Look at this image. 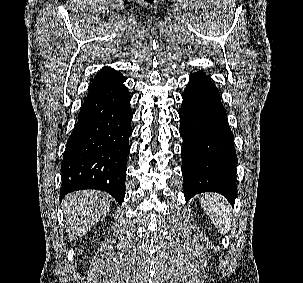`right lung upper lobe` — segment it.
<instances>
[{"label":"right lung upper lobe","mask_w":303,"mask_h":283,"mask_svg":"<svg viewBox=\"0 0 303 283\" xmlns=\"http://www.w3.org/2000/svg\"><path fill=\"white\" fill-rule=\"evenodd\" d=\"M119 72L115 71L114 69L110 68V67H103V69H101L98 74L96 75V77L93 80L94 82H98L100 80L106 79L110 76L116 75Z\"/></svg>","instance_id":"cb5924a9"}]
</instances>
